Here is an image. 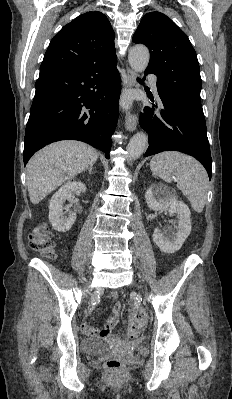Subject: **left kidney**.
<instances>
[{
	"label": "left kidney",
	"instance_id": "left-kidney-1",
	"mask_svg": "<svg viewBox=\"0 0 232 399\" xmlns=\"http://www.w3.org/2000/svg\"><path fill=\"white\" fill-rule=\"evenodd\" d=\"M146 203L150 209H168L169 213H177L178 225L174 227L175 231L165 229L161 231L155 227L153 239L165 253H174L180 249L186 237L191 231L190 209L184 201H178L175 196H169V190H165L161 184H153L148 188L146 194Z\"/></svg>",
	"mask_w": 232,
	"mask_h": 399
}]
</instances>
